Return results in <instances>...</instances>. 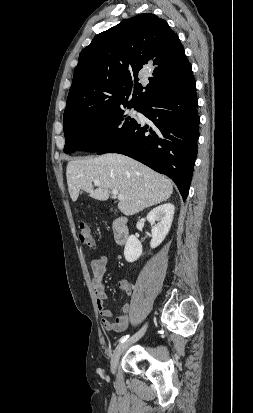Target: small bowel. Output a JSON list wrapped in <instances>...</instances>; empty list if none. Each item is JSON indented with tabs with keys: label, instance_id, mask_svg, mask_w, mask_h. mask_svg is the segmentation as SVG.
I'll return each mask as SVG.
<instances>
[{
	"label": "small bowel",
	"instance_id": "1",
	"mask_svg": "<svg viewBox=\"0 0 253 413\" xmlns=\"http://www.w3.org/2000/svg\"><path fill=\"white\" fill-rule=\"evenodd\" d=\"M107 263L108 259L105 255H101L92 260L91 270L93 273V278L91 281V285L96 297L98 312L101 316L104 328L112 332H122L128 327L129 324L130 304L125 303L120 311V314L115 319H113L112 312L106 308L105 302L108 296L103 282V278L107 270ZM118 285L119 288L122 291H124L128 296L132 295L133 288L130 282H128L127 280H120Z\"/></svg>",
	"mask_w": 253,
	"mask_h": 413
}]
</instances>
